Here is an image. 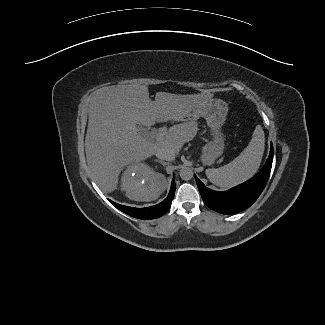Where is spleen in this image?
Wrapping results in <instances>:
<instances>
[{"label": "spleen", "mask_w": 325, "mask_h": 325, "mask_svg": "<svg viewBox=\"0 0 325 325\" xmlns=\"http://www.w3.org/2000/svg\"><path fill=\"white\" fill-rule=\"evenodd\" d=\"M264 146V131L257 125L251 141L241 154L223 167L207 169L208 179L216 186L229 188L251 178L260 166Z\"/></svg>", "instance_id": "1"}]
</instances>
